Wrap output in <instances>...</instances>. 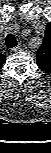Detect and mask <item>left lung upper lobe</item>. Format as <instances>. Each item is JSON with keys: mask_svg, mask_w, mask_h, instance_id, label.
Instances as JSON below:
<instances>
[{"mask_svg": "<svg viewBox=\"0 0 51 153\" xmlns=\"http://www.w3.org/2000/svg\"><path fill=\"white\" fill-rule=\"evenodd\" d=\"M37 64L47 74H51V22L47 24L43 43L37 52Z\"/></svg>", "mask_w": 51, "mask_h": 153, "instance_id": "obj_1", "label": "left lung upper lobe"}]
</instances>
